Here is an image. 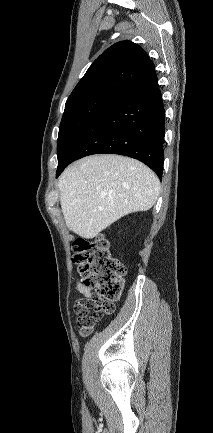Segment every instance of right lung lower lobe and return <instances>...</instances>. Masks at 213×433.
<instances>
[{"mask_svg":"<svg viewBox=\"0 0 213 433\" xmlns=\"http://www.w3.org/2000/svg\"><path fill=\"white\" fill-rule=\"evenodd\" d=\"M164 122L162 95L153 68L76 136L58 159L56 177L76 159L110 153L142 161L161 179Z\"/></svg>","mask_w":213,"mask_h":433,"instance_id":"obj_1","label":"right lung lower lobe"}]
</instances>
